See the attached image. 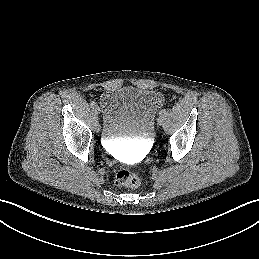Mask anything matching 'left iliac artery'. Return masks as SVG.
<instances>
[{"label": "left iliac artery", "instance_id": "obj_1", "mask_svg": "<svg viewBox=\"0 0 259 259\" xmlns=\"http://www.w3.org/2000/svg\"><path fill=\"white\" fill-rule=\"evenodd\" d=\"M166 113H167V110L164 108V109H162V110L160 111L159 115H160V116H164V115H166Z\"/></svg>", "mask_w": 259, "mask_h": 259}]
</instances>
